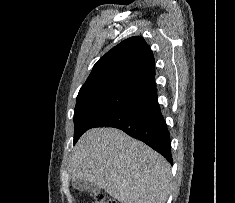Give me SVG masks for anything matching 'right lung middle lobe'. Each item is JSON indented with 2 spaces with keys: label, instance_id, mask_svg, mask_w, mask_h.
I'll use <instances>...</instances> for the list:
<instances>
[{
  "label": "right lung middle lobe",
  "instance_id": "obj_1",
  "mask_svg": "<svg viewBox=\"0 0 235 203\" xmlns=\"http://www.w3.org/2000/svg\"><path fill=\"white\" fill-rule=\"evenodd\" d=\"M147 86L111 82L80 89L74 110V144L102 118L145 94Z\"/></svg>",
  "mask_w": 235,
  "mask_h": 203
}]
</instances>
